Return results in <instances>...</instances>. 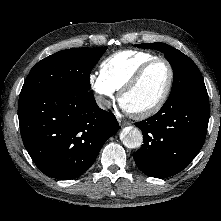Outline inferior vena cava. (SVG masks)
<instances>
[{
	"label": "inferior vena cava",
	"mask_w": 221,
	"mask_h": 221,
	"mask_svg": "<svg viewBox=\"0 0 221 221\" xmlns=\"http://www.w3.org/2000/svg\"><path fill=\"white\" fill-rule=\"evenodd\" d=\"M97 103L99 105V107L101 108H105V107H110L111 106V102L109 100H106L105 98L103 97H98L97 98Z\"/></svg>",
	"instance_id": "1"
}]
</instances>
